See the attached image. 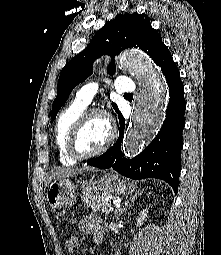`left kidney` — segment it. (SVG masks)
Listing matches in <instances>:
<instances>
[{
	"instance_id": "5707ae66",
	"label": "left kidney",
	"mask_w": 221,
	"mask_h": 255,
	"mask_svg": "<svg viewBox=\"0 0 221 255\" xmlns=\"http://www.w3.org/2000/svg\"><path fill=\"white\" fill-rule=\"evenodd\" d=\"M147 214H148V209L147 208L140 212L138 218L136 219L137 220V226L143 225V222L145 221V219L147 217Z\"/></svg>"
}]
</instances>
